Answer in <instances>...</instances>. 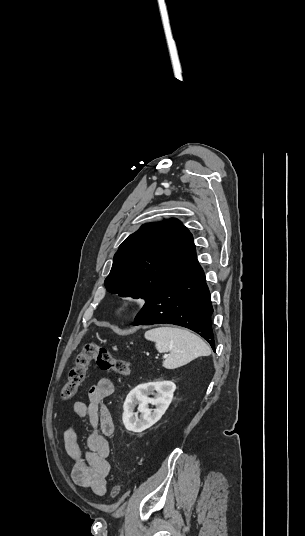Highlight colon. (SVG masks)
Segmentation results:
<instances>
[{
	"instance_id": "5ec220e1",
	"label": "colon",
	"mask_w": 305,
	"mask_h": 536,
	"mask_svg": "<svg viewBox=\"0 0 305 536\" xmlns=\"http://www.w3.org/2000/svg\"><path fill=\"white\" fill-rule=\"evenodd\" d=\"M91 361L104 370H111L120 375L128 376L131 374L132 365L120 358H114L107 349L95 342H85L80 351L74 355L73 364L69 369L68 380L62 388V398L70 400L74 397L77 389L86 381L88 366ZM120 486L114 484L111 489L112 498L119 495Z\"/></svg>"
}]
</instances>
